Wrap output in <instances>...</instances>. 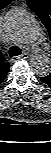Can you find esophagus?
<instances>
[{
    "mask_svg": "<svg viewBox=\"0 0 51 153\" xmlns=\"http://www.w3.org/2000/svg\"><path fill=\"white\" fill-rule=\"evenodd\" d=\"M29 56H30L29 53L24 52V53H22L18 58H19V59H27Z\"/></svg>",
    "mask_w": 51,
    "mask_h": 153,
    "instance_id": "obj_1",
    "label": "esophagus"
}]
</instances>
